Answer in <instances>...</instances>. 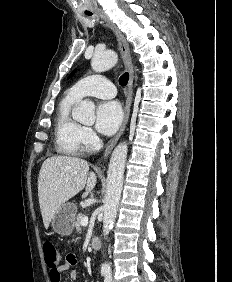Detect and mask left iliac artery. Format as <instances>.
Returning a JSON list of instances; mask_svg holds the SVG:
<instances>
[{
    "mask_svg": "<svg viewBox=\"0 0 232 282\" xmlns=\"http://www.w3.org/2000/svg\"><path fill=\"white\" fill-rule=\"evenodd\" d=\"M104 282H112L111 274H106Z\"/></svg>",
    "mask_w": 232,
    "mask_h": 282,
    "instance_id": "44dca946",
    "label": "left iliac artery"
}]
</instances>
